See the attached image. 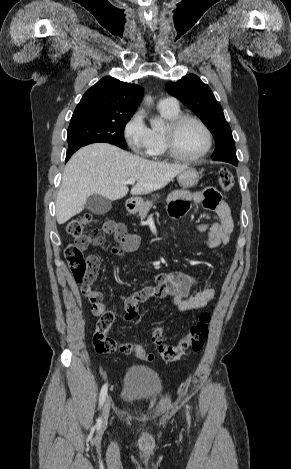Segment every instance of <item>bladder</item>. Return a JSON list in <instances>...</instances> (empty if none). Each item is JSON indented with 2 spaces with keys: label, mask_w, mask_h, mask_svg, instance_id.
I'll return each mask as SVG.
<instances>
[{
  "label": "bladder",
  "mask_w": 291,
  "mask_h": 469,
  "mask_svg": "<svg viewBox=\"0 0 291 469\" xmlns=\"http://www.w3.org/2000/svg\"><path fill=\"white\" fill-rule=\"evenodd\" d=\"M164 387L159 375L152 369L134 366L124 377L122 400L128 405L141 401H155L163 396Z\"/></svg>",
  "instance_id": "obj_1"
}]
</instances>
